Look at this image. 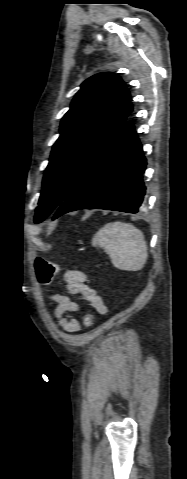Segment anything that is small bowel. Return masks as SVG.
<instances>
[{"mask_svg":"<svg viewBox=\"0 0 187 479\" xmlns=\"http://www.w3.org/2000/svg\"><path fill=\"white\" fill-rule=\"evenodd\" d=\"M66 290L73 295H82L99 313L106 312V306L97 290L86 284V275L82 271L69 270L64 275ZM50 300L56 304L54 311L59 326L66 332L79 330V323L72 315L80 310L77 302L68 296L53 293Z\"/></svg>","mask_w":187,"mask_h":479,"instance_id":"c3829d8e","label":"small bowel"}]
</instances>
